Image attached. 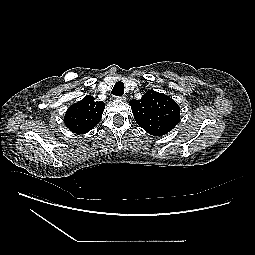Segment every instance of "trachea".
<instances>
[{"label":"trachea","instance_id":"1","mask_svg":"<svg viewBox=\"0 0 255 255\" xmlns=\"http://www.w3.org/2000/svg\"><path fill=\"white\" fill-rule=\"evenodd\" d=\"M112 94L122 96L124 94V83L121 81L117 82L113 87Z\"/></svg>","mask_w":255,"mask_h":255}]
</instances>
